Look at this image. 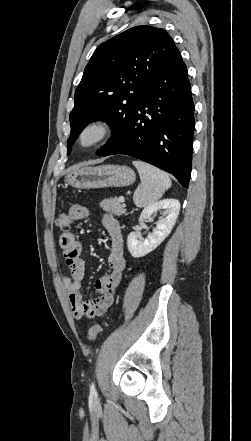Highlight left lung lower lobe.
Wrapping results in <instances>:
<instances>
[{"label":"left lung lower lobe","instance_id":"left-lung-lower-lobe-1","mask_svg":"<svg viewBox=\"0 0 251 441\" xmlns=\"http://www.w3.org/2000/svg\"><path fill=\"white\" fill-rule=\"evenodd\" d=\"M194 102L178 48L147 86L128 121L97 152L125 154L173 174L188 188L192 166Z\"/></svg>","mask_w":251,"mask_h":441}]
</instances>
